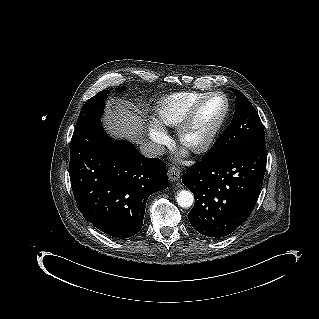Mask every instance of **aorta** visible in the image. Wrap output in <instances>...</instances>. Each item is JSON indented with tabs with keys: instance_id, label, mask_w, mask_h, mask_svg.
<instances>
[{
	"instance_id": "obj_1",
	"label": "aorta",
	"mask_w": 319,
	"mask_h": 319,
	"mask_svg": "<svg viewBox=\"0 0 319 319\" xmlns=\"http://www.w3.org/2000/svg\"><path fill=\"white\" fill-rule=\"evenodd\" d=\"M176 201L180 207L189 208L193 204L194 196L188 190H181L177 193Z\"/></svg>"
}]
</instances>
